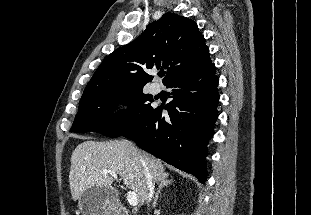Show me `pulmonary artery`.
<instances>
[{"instance_id":"pulmonary-artery-1","label":"pulmonary artery","mask_w":311,"mask_h":215,"mask_svg":"<svg viewBox=\"0 0 311 215\" xmlns=\"http://www.w3.org/2000/svg\"><path fill=\"white\" fill-rule=\"evenodd\" d=\"M159 90H160V88H159V86H157V85H153V86L151 87V91H152V93H154V94L158 93Z\"/></svg>"}]
</instances>
